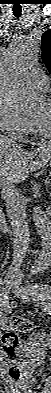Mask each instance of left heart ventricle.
<instances>
[{
  "label": "left heart ventricle",
  "instance_id": "b2bd125f",
  "mask_svg": "<svg viewBox=\"0 0 51 393\" xmlns=\"http://www.w3.org/2000/svg\"><path fill=\"white\" fill-rule=\"evenodd\" d=\"M34 119L39 120L46 129H51V105L43 101L37 109Z\"/></svg>",
  "mask_w": 51,
  "mask_h": 393
}]
</instances>
